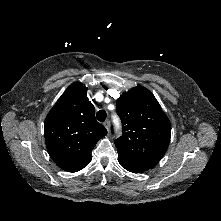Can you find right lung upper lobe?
I'll use <instances>...</instances> for the list:
<instances>
[{
  "instance_id": "cb5924a9",
  "label": "right lung upper lobe",
  "mask_w": 221,
  "mask_h": 221,
  "mask_svg": "<svg viewBox=\"0 0 221 221\" xmlns=\"http://www.w3.org/2000/svg\"><path fill=\"white\" fill-rule=\"evenodd\" d=\"M87 87L72 83L48 113L44 135L48 153L67 172H77L92 160L91 151L107 134L95 119V108L87 98Z\"/></svg>"
}]
</instances>
